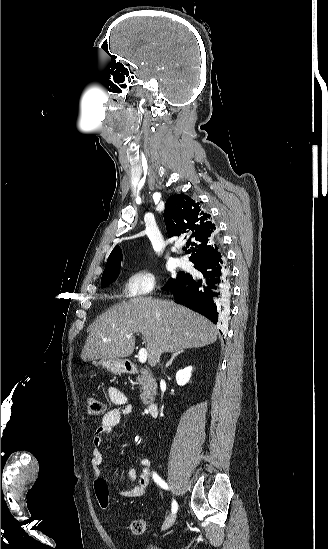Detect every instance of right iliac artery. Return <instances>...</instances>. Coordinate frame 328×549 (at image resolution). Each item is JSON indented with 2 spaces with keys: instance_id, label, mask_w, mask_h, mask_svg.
<instances>
[{
  "instance_id": "obj_1",
  "label": "right iliac artery",
  "mask_w": 328,
  "mask_h": 549,
  "mask_svg": "<svg viewBox=\"0 0 328 549\" xmlns=\"http://www.w3.org/2000/svg\"><path fill=\"white\" fill-rule=\"evenodd\" d=\"M153 479L163 489H166V490L168 489V485L156 473H153ZM177 509H178L177 502L175 500H173V502H172V513H176Z\"/></svg>"
}]
</instances>
